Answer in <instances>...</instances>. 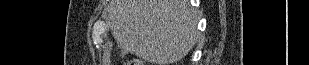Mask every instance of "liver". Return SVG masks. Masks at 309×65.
<instances>
[{
	"mask_svg": "<svg viewBox=\"0 0 309 65\" xmlns=\"http://www.w3.org/2000/svg\"><path fill=\"white\" fill-rule=\"evenodd\" d=\"M108 22L123 52L156 65L181 60L198 38L188 0H111Z\"/></svg>",
	"mask_w": 309,
	"mask_h": 65,
	"instance_id": "1",
	"label": "liver"
}]
</instances>
